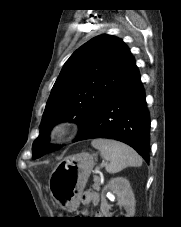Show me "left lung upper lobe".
Masks as SVG:
<instances>
[{"label": "left lung upper lobe", "instance_id": "obj_1", "mask_svg": "<svg viewBox=\"0 0 181 227\" xmlns=\"http://www.w3.org/2000/svg\"><path fill=\"white\" fill-rule=\"evenodd\" d=\"M135 66L128 47L119 38L100 35L83 44L64 64L43 113L32 159L60 148L48 144L52 126L62 120L80 126L77 140L92 126L111 92Z\"/></svg>", "mask_w": 181, "mask_h": 227}]
</instances>
